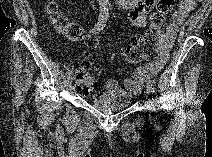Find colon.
<instances>
[{"label": "colon", "mask_w": 212, "mask_h": 157, "mask_svg": "<svg viewBox=\"0 0 212 157\" xmlns=\"http://www.w3.org/2000/svg\"><path fill=\"white\" fill-rule=\"evenodd\" d=\"M174 5L175 0H159L156 3L153 12L150 14V26L148 29L123 51L125 61L128 64H139L157 57L161 51L163 37L169 38L168 34L162 31V26ZM47 11L55 30L68 40L73 42L85 41L89 47L96 46L97 39L95 37H86L80 25L69 22L57 11L55 3H48ZM96 84L97 80L92 72L91 64L88 61H84L82 66L77 69L75 75L77 92L88 93L95 89Z\"/></svg>", "instance_id": "1"}]
</instances>
